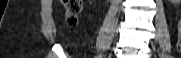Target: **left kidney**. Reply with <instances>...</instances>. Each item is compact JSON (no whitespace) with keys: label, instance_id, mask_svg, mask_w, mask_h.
<instances>
[{"label":"left kidney","instance_id":"1","mask_svg":"<svg viewBox=\"0 0 181 58\" xmlns=\"http://www.w3.org/2000/svg\"><path fill=\"white\" fill-rule=\"evenodd\" d=\"M170 2L174 5L179 4L181 0H170Z\"/></svg>","mask_w":181,"mask_h":58}]
</instances>
